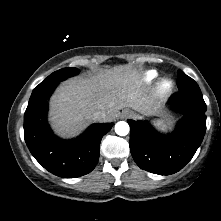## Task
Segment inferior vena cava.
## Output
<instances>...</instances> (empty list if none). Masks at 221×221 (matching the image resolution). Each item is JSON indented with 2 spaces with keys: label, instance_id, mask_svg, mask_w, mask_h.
Wrapping results in <instances>:
<instances>
[{
  "label": "inferior vena cava",
  "instance_id": "1",
  "mask_svg": "<svg viewBox=\"0 0 221 221\" xmlns=\"http://www.w3.org/2000/svg\"><path fill=\"white\" fill-rule=\"evenodd\" d=\"M106 118V113L103 111H96L93 113V119L95 121H102Z\"/></svg>",
  "mask_w": 221,
  "mask_h": 221
}]
</instances>
